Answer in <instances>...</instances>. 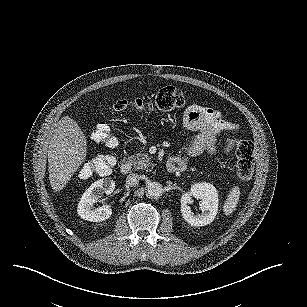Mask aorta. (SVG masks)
<instances>
[{
	"instance_id": "762f6f07",
	"label": "aorta",
	"mask_w": 307,
	"mask_h": 307,
	"mask_svg": "<svg viewBox=\"0 0 307 307\" xmlns=\"http://www.w3.org/2000/svg\"><path fill=\"white\" fill-rule=\"evenodd\" d=\"M163 192V186L159 182H150L146 186V195L149 198H160Z\"/></svg>"
}]
</instances>
